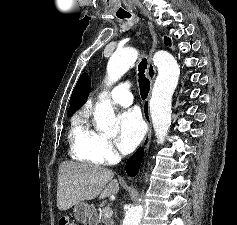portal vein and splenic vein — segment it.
<instances>
[{"label": "portal vein and splenic vein", "mask_w": 237, "mask_h": 225, "mask_svg": "<svg viewBox=\"0 0 237 225\" xmlns=\"http://www.w3.org/2000/svg\"><path fill=\"white\" fill-rule=\"evenodd\" d=\"M102 213L106 218H110L113 214V211L110 207H104Z\"/></svg>", "instance_id": "1"}]
</instances>
